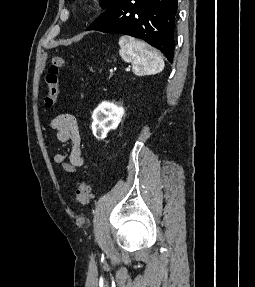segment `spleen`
<instances>
[{
  "label": "spleen",
  "mask_w": 255,
  "mask_h": 287,
  "mask_svg": "<svg viewBox=\"0 0 255 287\" xmlns=\"http://www.w3.org/2000/svg\"><path fill=\"white\" fill-rule=\"evenodd\" d=\"M120 54L125 62H132L134 70H148L151 74H159L164 68V62L150 46L134 40L130 36H121L119 40Z\"/></svg>",
  "instance_id": "1"
}]
</instances>
